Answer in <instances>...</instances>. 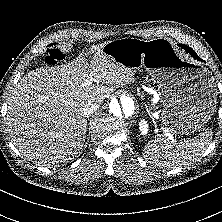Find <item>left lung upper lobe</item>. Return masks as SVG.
<instances>
[{
  "label": "left lung upper lobe",
  "instance_id": "obj_1",
  "mask_svg": "<svg viewBox=\"0 0 222 222\" xmlns=\"http://www.w3.org/2000/svg\"><path fill=\"white\" fill-rule=\"evenodd\" d=\"M182 48L186 49V50H191L192 48L185 46V45H181ZM193 50V49H192Z\"/></svg>",
  "mask_w": 222,
  "mask_h": 222
}]
</instances>
